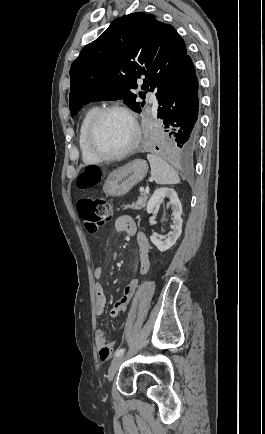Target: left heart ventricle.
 Listing matches in <instances>:
<instances>
[{
  "label": "left heart ventricle",
  "mask_w": 265,
  "mask_h": 434,
  "mask_svg": "<svg viewBox=\"0 0 265 434\" xmlns=\"http://www.w3.org/2000/svg\"><path fill=\"white\" fill-rule=\"evenodd\" d=\"M99 142L109 153L126 150L134 138V127L129 117L119 111L106 114L100 124Z\"/></svg>",
  "instance_id": "1"
}]
</instances>
